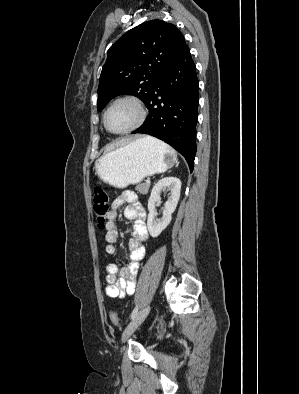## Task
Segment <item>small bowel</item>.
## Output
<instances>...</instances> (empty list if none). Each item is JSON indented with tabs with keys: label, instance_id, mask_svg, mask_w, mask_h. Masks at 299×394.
I'll return each instance as SVG.
<instances>
[{
	"label": "small bowel",
	"instance_id": "obj_1",
	"mask_svg": "<svg viewBox=\"0 0 299 394\" xmlns=\"http://www.w3.org/2000/svg\"><path fill=\"white\" fill-rule=\"evenodd\" d=\"M124 204H127L124 209V216L134 223L132 237L128 242L129 263L121 269L115 263H110L106 267L108 274L106 293L110 297L120 298L131 295L135 291L137 269L140 261L144 258L145 241L148 238L144 207L138 201L135 192L129 190L124 191L114 199L108 213V221L105 225L106 253L114 255L116 252L114 244L119 239L117 217L119 209Z\"/></svg>",
	"mask_w": 299,
	"mask_h": 394
}]
</instances>
